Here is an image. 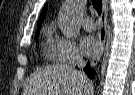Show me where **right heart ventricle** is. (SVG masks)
Returning a JSON list of instances; mask_svg holds the SVG:
<instances>
[{
    "instance_id": "obj_1",
    "label": "right heart ventricle",
    "mask_w": 135,
    "mask_h": 95,
    "mask_svg": "<svg viewBox=\"0 0 135 95\" xmlns=\"http://www.w3.org/2000/svg\"><path fill=\"white\" fill-rule=\"evenodd\" d=\"M52 32H53L52 25H47L44 29V35H45V38L47 40V45L45 47V54L50 59H52V54H51V43H52V40H53L51 38Z\"/></svg>"
}]
</instances>
